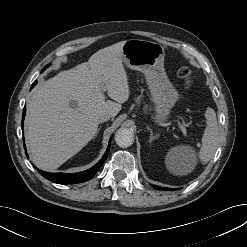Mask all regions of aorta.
<instances>
[{
  "mask_svg": "<svg viewBox=\"0 0 247 247\" xmlns=\"http://www.w3.org/2000/svg\"><path fill=\"white\" fill-rule=\"evenodd\" d=\"M115 142L120 147H129L134 142V134L128 128H120L115 133Z\"/></svg>",
  "mask_w": 247,
  "mask_h": 247,
  "instance_id": "1",
  "label": "aorta"
}]
</instances>
